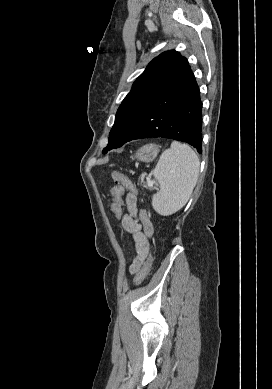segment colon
I'll list each match as a JSON object with an SVG mask.
<instances>
[{
	"label": "colon",
	"mask_w": 272,
	"mask_h": 389,
	"mask_svg": "<svg viewBox=\"0 0 272 389\" xmlns=\"http://www.w3.org/2000/svg\"><path fill=\"white\" fill-rule=\"evenodd\" d=\"M112 179L114 181V186L111 189V197H112V206L111 210L115 218L120 219L123 211V193L124 189H127L133 193L136 192L135 186L131 182V180L120 171L112 172ZM151 257L149 256L145 263L142 266V269L138 273L135 284H141L148 276L151 269Z\"/></svg>",
	"instance_id": "obj_1"
}]
</instances>
